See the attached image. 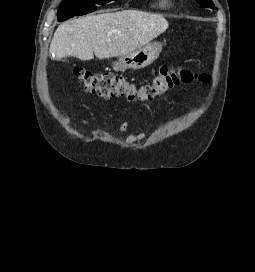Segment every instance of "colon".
Segmentation results:
<instances>
[{"label":"colon","instance_id":"1","mask_svg":"<svg viewBox=\"0 0 255 272\" xmlns=\"http://www.w3.org/2000/svg\"><path fill=\"white\" fill-rule=\"evenodd\" d=\"M74 75L89 93L106 99L125 96L138 101H151L180 83H189L197 78L202 81L210 79L208 74L198 75L183 66L174 65L161 66L152 81L142 85H137L124 75L96 73L84 68L75 69Z\"/></svg>","mask_w":255,"mask_h":272}]
</instances>
